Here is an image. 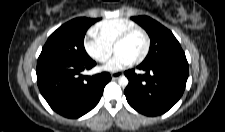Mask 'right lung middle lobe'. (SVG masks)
<instances>
[{"label":"right lung middle lobe","mask_w":225,"mask_h":132,"mask_svg":"<svg viewBox=\"0 0 225 132\" xmlns=\"http://www.w3.org/2000/svg\"><path fill=\"white\" fill-rule=\"evenodd\" d=\"M99 19L76 18L59 27L48 38L40 56H53L73 61L91 59L84 48L87 29Z\"/></svg>","instance_id":"right-lung-middle-lobe-1"}]
</instances>
